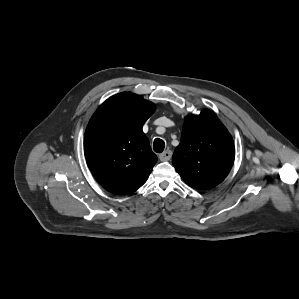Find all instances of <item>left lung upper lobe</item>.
<instances>
[{
    "instance_id": "1",
    "label": "left lung upper lobe",
    "mask_w": 299,
    "mask_h": 299,
    "mask_svg": "<svg viewBox=\"0 0 299 299\" xmlns=\"http://www.w3.org/2000/svg\"><path fill=\"white\" fill-rule=\"evenodd\" d=\"M235 157L231 135L211 112L188 117L172 163L186 184L210 189L228 175Z\"/></svg>"
}]
</instances>
